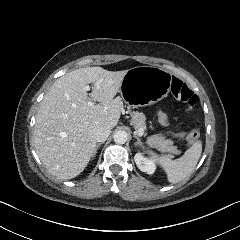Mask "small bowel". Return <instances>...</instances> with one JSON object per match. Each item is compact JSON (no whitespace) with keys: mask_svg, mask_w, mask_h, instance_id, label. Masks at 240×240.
I'll return each instance as SVG.
<instances>
[{"mask_svg":"<svg viewBox=\"0 0 240 240\" xmlns=\"http://www.w3.org/2000/svg\"><path fill=\"white\" fill-rule=\"evenodd\" d=\"M170 135L173 136L174 138H180L181 139V138H185V137L188 138L189 133L183 132V131H181V132H171Z\"/></svg>","mask_w":240,"mask_h":240,"instance_id":"obj_1","label":"small bowel"}]
</instances>
